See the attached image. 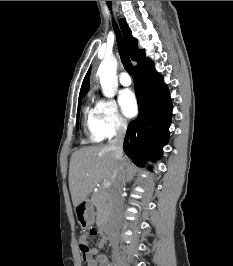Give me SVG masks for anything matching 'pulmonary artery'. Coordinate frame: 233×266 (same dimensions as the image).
<instances>
[{"mask_svg":"<svg viewBox=\"0 0 233 266\" xmlns=\"http://www.w3.org/2000/svg\"><path fill=\"white\" fill-rule=\"evenodd\" d=\"M119 82L123 86H130L132 83L130 76L126 72L120 74Z\"/></svg>","mask_w":233,"mask_h":266,"instance_id":"pulmonary-artery-1","label":"pulmonary artery"}]
</instances>
